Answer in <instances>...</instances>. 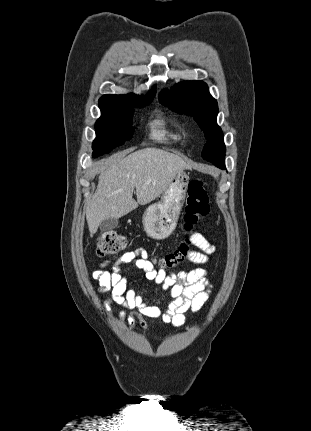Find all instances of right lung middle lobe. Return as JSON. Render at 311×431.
<instances>
[{"mask_svg": "<svg viewBox=\"0 0 311 431\" xmlns=\"http://www.w3.org/2000/svg\"><path fill=\"white\" fill-rule=\"evenodd\" d=\"M153 97L139 99L100 98L101 117L95 123L96 139L93 157L110 152L116 146L130 140L134 131L132 114L134 107L149 105Z\"/></svg>", "mask_w": 311, "mask_h": 431, "instance_id": "obj_1", "label": "right lung middle lobe"}]
</instances>
